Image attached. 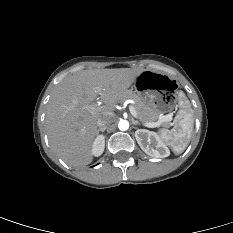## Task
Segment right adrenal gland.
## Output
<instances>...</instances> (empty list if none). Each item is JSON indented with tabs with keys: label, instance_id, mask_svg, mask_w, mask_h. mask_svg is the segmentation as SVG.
Here are the masks:
<instances>
[{
	"label": "right adrenal gland",
	"instance_id": "obj_1",
	"mask_svg": "<svg viewBox=\"0 0 233 233\" xmlns=\"http://www.w3.org/2000/svg\"><path fill=\"white\" fill-rule=\"evenodd\" d=\"M106 128H100L98 131L99 132H104Z\"/></svg>",
	"mask_w": 233,
	"mask_h": 233
}]
</instances>
